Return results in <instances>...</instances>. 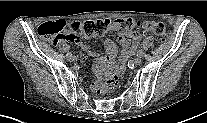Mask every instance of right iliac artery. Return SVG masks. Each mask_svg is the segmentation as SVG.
<instances>
[{
    "mask_svg": "<svg viewBox=\"0 0 207 123\" xmlns=\"http://www.w3.org/2000/svg\"><path fill=\"white\" fill-rule=\"evenodd\" d=\"M71 56H72L71 53H67V54H66V57H67L68 60L70 59Z\"/></svg>",
    "mask_w": 207,
    "mask_h": 123,
    "instance_id": "obj_1",
    "label": "right iliac artery"
}]
</instances>
